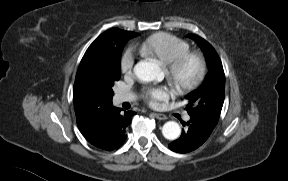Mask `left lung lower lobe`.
I'll return each mask as SVG.
<instances>
[{
    "mask_svg": "<svg viewBox=\"0 0 288 181\" xmlns=\"http://www.w3.org/2000/svg\"><path fill=\"white\" fill-rule=\"evenodd\" d=\"M190 116L188 122H182L186 129H182L180 138L168 145L175 152L188 153L197 149L208 139L217 124L201 116Z\"/></svg>",
    "mask_w": 288,
    "mask_h": 181,
    "instance_id": "left-lung-lower-lobe-1",
    "label": "left lung lower lobe"
}]
</instances>
